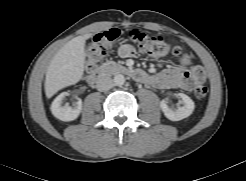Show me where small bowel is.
<instances>
[{
	"label": "small bowel",
	"mask_w": 246,
	"mask_h": 181,
	"mask_svg": "<svg viewBox=\"0 0 246 181\" xmlns=\"http://www.w3.org/2000/svg\"><path fill=\"white\" fill-rule=\"evenodd\" d=\"M118 54L122 58H130L134 55V49L131 45L124 44L119 47ZM177 56V66L169 67L157 74H146L144 82L160 90L182 88L187 91L202 84L206 79L205 73L193 65L191 55L181 51Z\"/></svg>",
	"instance_id": "c3829d8e"
}]
</instances>
